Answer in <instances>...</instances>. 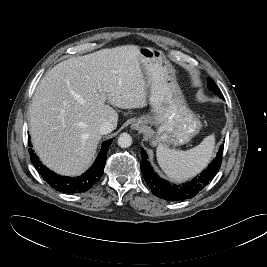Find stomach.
I'll return each instance as SVG.
<instances>
[{
	"instance_id": "1",
	"label": "stomach",
	"mask_w": 267,
	"mask_h": 267,
	"mask_svg": "<svg viewBox=\"0 0 267 267\" xmlns=\"http://www.w3.org/2000/svg\"><path fill=\"white\" fill-rule=\"evenodd\" d=\"M140 62L147 79L152 115H144L136 122L157 126L150 133L153 145L188 143L200 131L201 122L187 105L173 65L162 51L150 47H140Z\"/></svg>"
}]
</instances>
